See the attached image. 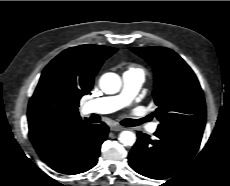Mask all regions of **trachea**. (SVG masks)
<instances>
[{"label": "trachea", "instance_id": "trachea-1", "mask_svg": "<svg viewBox=\"0 0 230 186\" xmlns=\"http://www.w3.org/2000/svg\"><path fill=\"white\" fill-rule=\"evenodd\" d=\"M149 117H145L142 119H124L121 121V124L124 126H128V127H133V126H138L144 122L149 121Z\"/></svg>", "mask_w": 230, "mask_h": 186}]
</instances>
